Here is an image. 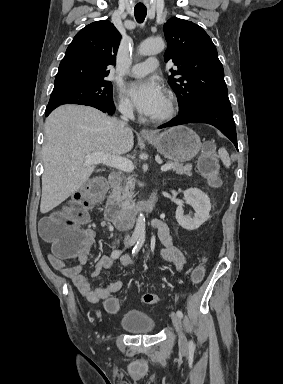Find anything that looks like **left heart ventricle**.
<instances>
[{
	"mask_svg": "<svg viewBox=\"0 0 283 384\" xmlns=\"http://www.w3.org/2000/svg\"><path fill=\"white\" fill-rule=\"evenodd\" d=\"M164 108H165V102L163 103L161 108L154 115H152L151 117H156V116L160 115L164 111Z\"/></svg>",
	"mask_w": 283,
	"mask_h": 384,
	"instance_id": "left-heart-ventricle-1",
	"label": "left heart ventricle"
}]
</instances>
